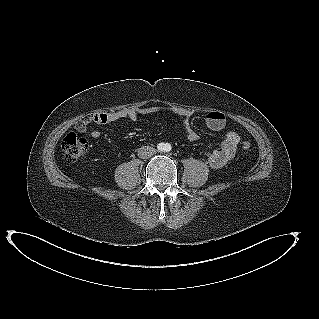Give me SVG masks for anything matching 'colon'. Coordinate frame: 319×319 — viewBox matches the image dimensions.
<instances>
[{"label": "colon", "mask_w": 319, "mask_h": 319, "mask_svg": "<svg viewBox=\"0 0 319 319\" xmlns=\"http://www.w3.org/2000/svg\"><path fill=\"white\" fill-rule=\"evenodd\" d=\"M240 148L244 152H250L253 146L249 140L243 138L240 140ZM62 150L64 152L65 160L69 163H75L87 153L88 141L85 138L70 132L62 141Z\"/></svg>", "instance_id": "5ec220e1"}]
</instances>
